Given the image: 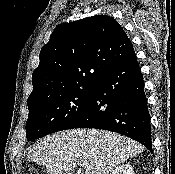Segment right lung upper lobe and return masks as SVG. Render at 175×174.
I'll list each match as a JSON object with an SVG mask.
<instances>
[{
  "label": "right lung upper lobe",
  "instance_id": "obj_1",
  "mask_svg": "<svg viewBox=\"0 0 175 174\" xmlns=\"http://www.w3.org/2000/svg\"><path fill=\"white\" fill-rule=\"evenodd\" d=\"M134 55L131 41L113 17L97 15L60 24L40 52L27 105L94 86L109 69Z\"/></svg>",
  "mask_w": 175,
  "mask_h": 174
}]
</instances>
